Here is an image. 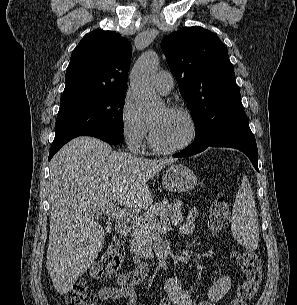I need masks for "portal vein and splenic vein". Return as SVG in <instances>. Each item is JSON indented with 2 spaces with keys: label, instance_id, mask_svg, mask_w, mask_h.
I'll return each mask as SVG.
<instances>
[{
  "label": "portal vein and splenic vein",
  "instance_id": "1",
  "mask_svg": "<svg viewBox=\"0 0 297 305\" xmlns=\"http://www.w3.org/2000/svg\"><path fill=\"white\" fill-rule=\"evenodd\" d=\"M98 213L124 220H134L138 218L137 214L132 212L130 209H123L114 204L100 208ZM157 228H161V225H159Z\"/></svg>",
  "mask_w": 297,
  "mask_h": 305
}]
</instances>
